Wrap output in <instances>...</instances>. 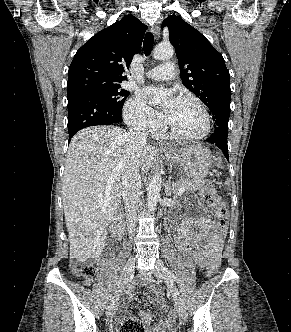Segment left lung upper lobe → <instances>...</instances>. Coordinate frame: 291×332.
<instances>
[{"instance_id": "left-lung-upper-lobe-1", "label": "left lung upper lobe", "mask_w": 291, "mask_h": 332, "mask_svg": "<svg viewBox=\"0 0 291 332\" xmlns=\"http://www.w3.org/2000/svg\"><path fill=\"white\" fill-rule=\"evenodd\" d=\"M169 39L175 47L182 83L212 111L219 103L231 99L229 71L222 55L203 34L179 16H169Z\"/></svg>"}]
</instances>
